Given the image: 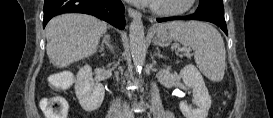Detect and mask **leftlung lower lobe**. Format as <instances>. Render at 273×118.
<instances>
[{"label":"left lung lower lobe","mask_w":273,"mask_h":118,"mask_svg":"<svg viewBox=\"0 0 273 118\" xmlns=\"http://www.w3.org/2000/svg\"><path fill=\"white\" fill-rule=\"evenodd\" d=\"M179 19L208 21V22L214 23L217 26H219L225 32V34L228 35L225 19L223 17H220L218 15H214V14L195 12L194 14L187 15V16L158 18L157 21L158 22H166V21L179 20Z\"/></svg>","instance_id":"obj_1"}]
</instances>
